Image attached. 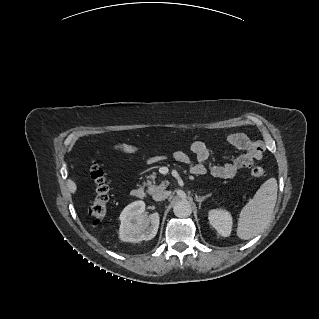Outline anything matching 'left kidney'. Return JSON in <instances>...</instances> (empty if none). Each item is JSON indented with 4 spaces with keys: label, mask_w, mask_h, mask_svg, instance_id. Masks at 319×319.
<instances>
[{
    "label": "left kidney",
    "mask_w": 319,
    "mask_h": 319,
    "mask_svg": "<svg viewBox=\"0 0 319 319\" xmlns=\"http://www.w3.org/2000/svg\"><path fill=\"white\" fill-rule=\"evenodd\" d=\"M209 223L217 230V232L227 237L231 234L232 230V216L223 209H212L208 213Z\"/></svg>",
    "instance_id": "obj_1"
}]
</instances>
